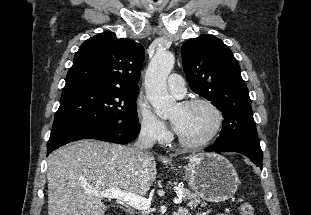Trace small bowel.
Instances as JSON below:
<instances>
[{"label": "small bowel", "instance_id": "obj_1", "mask_svg": "<svg viewBox=\"0 0 311 215\" xmlns=\"http://www.w3.org/2000/svg\"><path fill=\"white\" fill-rule=\"evenodd\" d=\"M179 212H180L182 215H190V213H189L188 210H186V209H181ZM218 215H224V214H218Z\"/></svg>", "mask_w": 311, "mask_h": 215}]
</instances>
